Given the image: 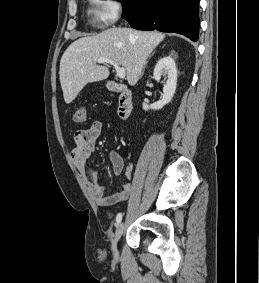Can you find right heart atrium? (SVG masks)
Listing matches in <instances>:
<instances>
[{
    "label": "right heart atrium",
    "instance_id": "1",
    "mask_svg": "<svg viewBox=\"0 0 259 283\" xmlns=\"http://www.w3.org/2000/svg\"><path fill=\"white\" fill-rule=\"evenodd\" d=\"M94 17L102 27L113 25L121 15V0H93Z\"/></svg>",
    "mask_w": 259,
    "mask_h": 283
}]
</instances>
